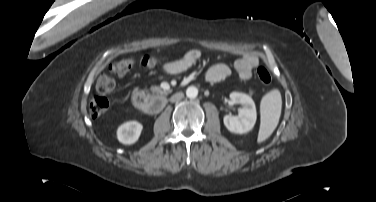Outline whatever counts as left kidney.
Wrapping results in <instances>:
<instances>
[{
    "mask_svg": "<svg viewBox=\"0 0 376 202\" xmlns=\"http://www.w3.org/2000/svg\"><path fill=\"white\" fill-rule=\"evenodd\" d=\"M232 103H239L242 108L239 109L237 116L225 115L223 118L226 128L237 134L249 132L255 125L257 119L256 107L253 99L244 93L232 92L230 95Z\"/></svg>",
    "mask_w": 376,
    "mask_h": 202,
    "instance_id": "5707ae66",
    "label": "left kidney"
}]
</instances>
